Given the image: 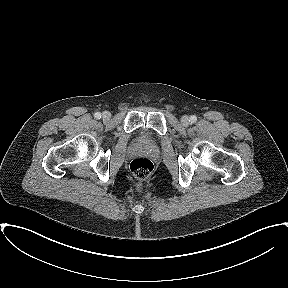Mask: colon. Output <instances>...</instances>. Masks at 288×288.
Instances as JSON below:
<instances>
[{
  "label": "colon",
  "mask_w": 288,
  "mask_h": 288,
  "mask_svg": "<svg viewBox=\"0 0 288 288\" xmlns=\"http://www.w3.org/2000/svg\"><path fill=\"white\" fill-rule=\"evenodd\" d=\"M154 165L147 158H136L130 164V170L139 183L144 181L153 171Z\"/></svg>",
  "instance_id": "1"
}]
</instances>
